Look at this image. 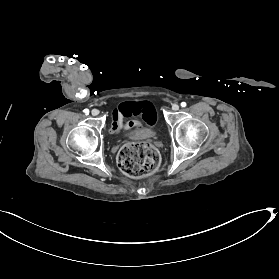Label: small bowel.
Wrapping results in <instances>:
<instances>
[{"instance_id":"obj_1","label":"small bowel","mask_w":279,"mask_h":279,"mask_svg":"<svg viewBox=\"0 0 279 279\" xmlns=\"http://www.w3.org/2000/svg\"><path fill=\"white\" fill-rule=\"evenodd\" d=\"M132 115H141L148 126H152L156 121L155 109L150 102H126L113 111L110 132L117 134L123 129H132L130 136H141L144 130L143 124L137 120L127 121V118Z\"/></svg>"}]
</instances>
